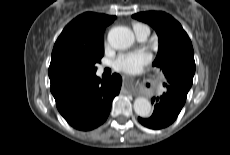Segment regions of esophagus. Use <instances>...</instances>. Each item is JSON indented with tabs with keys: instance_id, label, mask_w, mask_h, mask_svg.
<instances>
[{
	"instance_id": "esophagus-1",
	"label": "esophagus",
	"mask_w": 230,
	"mask_h": 155,
	"mask_svg": "<svg viewBox=\"0 0 230 155\" xmlns=\"http://www.w3.org/2000/svg\"><path fill=\"white\" fill-rule=\"evenodd\" d=\"M123 79H124V84L125 86L128 88L131 84H133L131 82V80H129V77L128 76H123Z\"/></svg>"
}]
</instances>
